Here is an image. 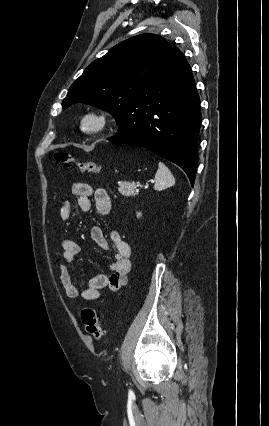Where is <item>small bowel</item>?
<instances>
[{
    "instance_id": "c3829d8e",
    "label": "small bowel",
    "mask_w": 269,
    "mask_h": 426,
    "mask_svg": "<svg viewBox=\"0 0 269 426\" xmlns=\"http://www.w3.org/2000/svg\"><path fill=\"white\" fill-rule=\"evenodd\" d=\"M72 195L77 207L88 212L92 208L93 198L96 209L101 215H108L111 209V198L104 188L94 189L91 185L76 182L72 186ZM73 202L67 200L60 209L62 220L67 221L72 217ZM90 236L92 241L101 249L108 248V241L102 228L94 226ZM115 248L114 261L109 272L98 274L90 278L85 287L79 288L75 282L70 266L80 253V245L73 239H64L61 243L63 250L62 259L59 261V279L62 289L68 299L76 300L79 297L84 301L101 299L105 292H116L127 282L131 270V248L117 231L111 233Z\"/></svg>"
}]
</instances>
